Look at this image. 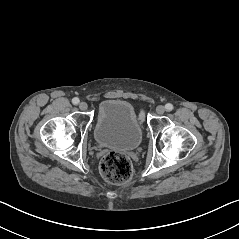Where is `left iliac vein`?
Listing matches in <instances>:
<instances>
[{"instance_id": "left-iliac-vein-1", "label": "left iliac vein", "mask_w": 239, "mask_h": 239, "mask_svg": "<svg viewBox=\"0 0 239 239\" xmlns=\"http://www.w3.org/2000/svg\"><path fill=\"white\" fill-rule=\"evenodd\" d=\"M164 112H165V107L164 106H162V105L157 106V108H156V113L157 114L162 115V114H164Z\"/></svg>"}]
</instances>
